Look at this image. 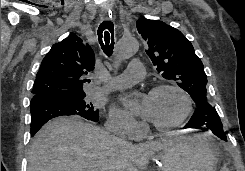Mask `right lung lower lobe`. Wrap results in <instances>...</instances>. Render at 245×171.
<instances>
[{
	"instance_id": "right-lung-lower-lobe-1",
	"label": "right lung lower lobe",
	"mask_w": 245,
	"mask_h": 171,
	"mask_svg": "<svg viewBox=\"0 0 245 171\" xmlns=\"http://www.w3.org/2000/svg\"><path fill=\"white\" fill-rule=\"evenodd\" d=\"M31 111V135L35 133L50 119L59 116L80 115L81 117L98 122V118L88 117L77 111L72 106L64 103L56 97L32 98L30 103Z\"/></svg>"
}]
</instances>
